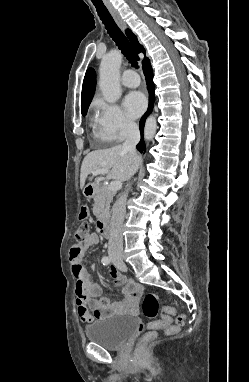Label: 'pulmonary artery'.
<instances>
[{"instance_id":"e3ab8cb5","label":"pulmonary artery","mask_w":249,"mask_h":382,"mask_svg":"<svg viewBox=\"0 0 249 382\" xmlns=\"http://www.w3.org/2000/svg\"><path fill=\"white\" fill-rule=\"evenodd\" d=\"M122 84L129 88H135L140 84V78L138 74L133 70H126L122 75Z\"/></svg>"}]
</instances>
